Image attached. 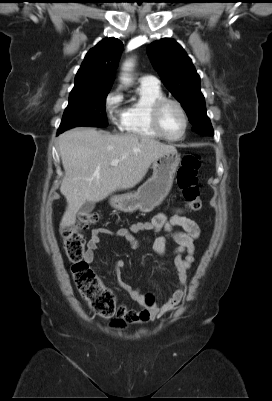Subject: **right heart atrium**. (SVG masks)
<instances>
[{
	"mask_svg": "<svg viewBox=\"0 0 272 401\" xmlns=\"http://www.w3.org/2000/svg\"><path fill=\"white\" fill-rule=\"evenodd\" d=\"M122 101L123 94L119 88L110 91L104 100V109L107 117L116 126H120L123 119Z\"/></svg>",
	"mask_w": 272,
	"mask_h": 401,
	"instance_id": "d8ad5b80",
	"label": "right heart atrium"
}]
</instances>
